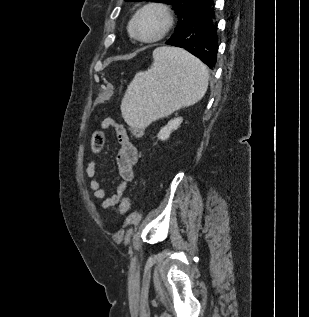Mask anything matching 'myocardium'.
I'll use <instances>...</instances> for the list:
<instances>
[{
	"instance_id": "myocardium-1",
	"label": "myocardium",
	"mask_w": 309,
	"mask_h": 317,
	"mask_svg": "<svg viewBox=\"0 0 309 317\" xmlns=\"http://www.w3.org/2000/svg\"><path fill=\"white\" fill-rule=\"evenodd\" d=\"M149 11L158 13L162 17L163 22H162L161 29L156 35L149 38H145V37H142L138 31V21L144 13ZM173 23H174V18H173L172 12L166 5L161 3H155V2L148 3L142 6L134 15L132 19V34L137 40L144 43L157 42L166 36V34L172 28Z\"/></svg>"
}]
</instances>
